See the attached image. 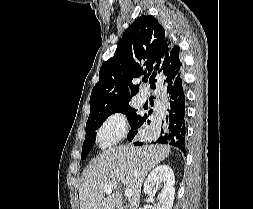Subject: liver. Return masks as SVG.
Returning <instances> with one entry per match:
<instances>
[{
  "mask_svg": "<svg viewBox=\"0 0 253 209\" xmlns=\"http://www.w3.org/2000/svg\"><path fill=\"white\" fill-rule=\"evenodd\" d=\"M170 151V146L165 145H128L104 151L84 173L79 188L80 209H124L122 195L117 191L120 184L133 193L128 209H138L145 177L169 156ZM107 184H113L114 188L105 196Z\"/></svg>",
  "mask_w": 253,
  "mask_h": 209,
  "instance_id": "6515ba94",
  "label": "liver"
}]
</instances>
